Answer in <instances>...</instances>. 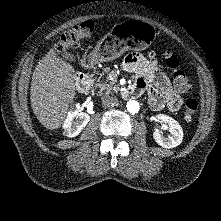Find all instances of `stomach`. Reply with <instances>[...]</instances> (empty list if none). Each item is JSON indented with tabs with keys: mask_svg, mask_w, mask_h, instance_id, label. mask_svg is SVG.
Returning a JSON list of instances; mask_svg holds the SVG:
<instances>
[{
	"mask_svg": "<svg viewBox=\"0 0 221 221\" xmlns=\"http://www.w3.org/2000/svg\"><path fill=\"white\" fill-rule=\"evenodd\" d=\"M156 37L154 28L143 21L134 19L121 22L111 27L92 50L89 59L92 63H103L115 60L127 49L144 50Z\"/></svg>",
	"mask_w": 221,
	"mask_h": 221,
	"instance_id": "1",
	"label": "stomach"
}]
</instances>
